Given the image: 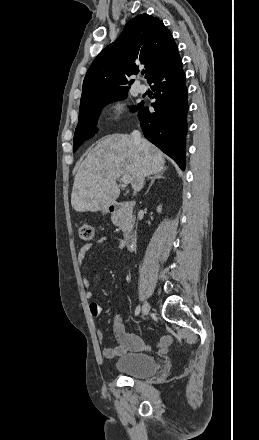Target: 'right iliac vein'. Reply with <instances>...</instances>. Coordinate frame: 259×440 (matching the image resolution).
I'll return each mask as SVG.
<instances>
[{
	"instance_id": "obj_1",
	"label": "right iliac vein",
	"mask_w": 259,
	"mask_h": 440,
	"mask_svg": "<svg viewBox=\"0 0 259 440\" xmlns=\"http://www.w3.org/2000/svg\"><path fill=\"white\" fill-rule=\"evenodd\" d=\"M151 309V305L149 302H145L142 307V316L145 317L148 315L149 311Z\"/></svg>"
}]
</instances>
